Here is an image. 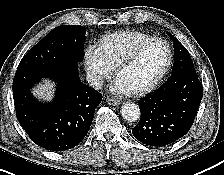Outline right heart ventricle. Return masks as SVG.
<instances>
[{
  "label": "right heart ventricle",
  "mask_w": 224,
  "mask_h": 175,
  "mask_svg": "<svg viewBox=\"0 0 224 175\" xmlns=\"http://www.w3.org/2000/svg\"><path fill=\"white\" fill-rule=\"evenodd\" d=\"M153 38V36L140 31H120L102 38L98 49L106 60L116 67L137 46Z\"/></svg>",
  "instance_id": "right-heart-ventricle-1"
}]
</instances>
